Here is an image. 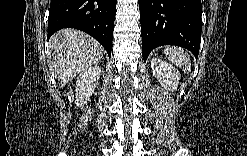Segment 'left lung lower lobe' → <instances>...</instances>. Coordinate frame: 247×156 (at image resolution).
Returning a JSON list of instances; mask_svg holds the SVG:
<instances>
[{"instance_id":"0a47b994","label":"left lung lower lobe","mask_w":247,"mask_h":156,"mask_svg":"<svg viewBox=\"0 0 247 156\" xmlns=\"http://www.w3.org/2000/svg\"><path fill=\"white\" fill-rule=\"evenodd\" d=\"M142 55L162 45L181 46L198 57L201 0H139Z\"/></svg>"}]
</instances>
